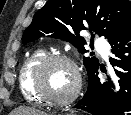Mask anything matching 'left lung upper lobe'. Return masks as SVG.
Here are the masks:
<instances>
[{
    "label": "left lung upper lobe",
    "instance_id": "1",
    "mask_svg": "<svg viewBox=\"0 0 131 115\" xmlns=\"http://www.w3.org/2000/svg\"><path fill=\"white\" fill-rule=\"evenodd\" d=\"M131 23V7L127 0H48L38 10L24 31L22 41H34L44 34L71 42L80 53L87 52L79 33L89 29L108 42ZM93 38V37H92ZM88 77L99 67L94 57H84Z\"/></svg>",
    "mask_w": 131,
    "mask_h": 115
}]
</instances>
